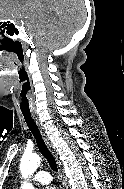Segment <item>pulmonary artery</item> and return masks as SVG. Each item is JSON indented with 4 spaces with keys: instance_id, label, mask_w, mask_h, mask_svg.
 I'll use <instances>...</instances> for the list:
<instances>
[{
    "instance_id": "1",
    "label": "pulmonary artery",
    "mask_w": 124,
    "mask_h": 189,
    "mask_svg": "<svg viewBox=\"0 0 124 189\" xmlns=\"http://www.w3.org/2000/svg\"><path fill=\"white\" fill-rule=\"evenodd\" d=\"M32 181L40 184H49L52 181V177L48 172L40 171L33 176Z\"/></svg>"
}]
</instances>
